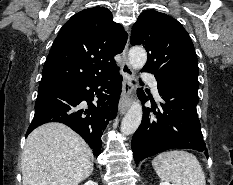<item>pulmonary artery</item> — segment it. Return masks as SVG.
<instances>
[{"label":"pulmonary artery","mask_w":233,"mask_h":185,"mask_svg":"<svg viewBox=\"0 0 233 185\" xmlns=\"http://www.w3.org/2000/svg\"><path fill=\"white\" fill-rule=\"evenodd\" d=\"M143 79L151 86L152 91L154 93V95L159 98V93H158V83L157 80L154 76L149 75V74H145L143 76Z\"/></svg>","instance_id":"obj_1"}]
</instances>
